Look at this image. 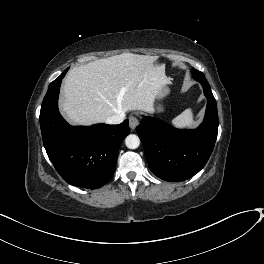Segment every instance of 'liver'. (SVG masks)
Instances as JSON below:
<instances>
[{
	"label": "liver",
	"mask_w": 264,
	"mask_h": 264,
	"mask_svg": "<svg viewBox=\"0 0 264 264\" xmlns=\"http://www.w3.org/2000/svg\"><path fill=\"white\" fill-rule=\"evenodd\" d=\"M157 60L122 53L71 69L63 82L62 113L72 124L91 125L130 110L153 112L157 93L169 84Z\"/></svg>",
	"instance_id": "6515ba94"
}]
</instances>
